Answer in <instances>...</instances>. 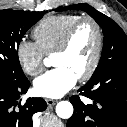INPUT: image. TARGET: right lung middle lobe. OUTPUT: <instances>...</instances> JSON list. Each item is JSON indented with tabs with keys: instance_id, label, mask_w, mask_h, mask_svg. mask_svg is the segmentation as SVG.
Returning <instances> with one entry per match:
<instances>
[{
	"instance_id": "1",
	"label": "right lung middle lobe",
	"mask_w": 127,
	"mask_h": 127,
	"mask_svg": "<svg viewBox=\"0 0 127 127\" xmlns=\"http://www.w3.org/2000/svg\"><path fill=\"white\" fill-rule=\"evenodd\" d=\"M42 12L0 10V78L14 82L26 79L18 58V47L26 31L39 21Z\"/></svg>"
}]
</instances>
